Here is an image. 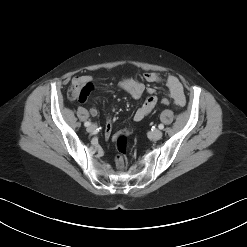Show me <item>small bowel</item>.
<instances>
[{
  "label": "small bowel",
  "instance_id": "1",
  "mask_svg": "<svg viewBox=\"0 0 247 247\" xmlns=\"http://www.w3.org/2000/svg\"><path fill=\"white\" fill-rule=\"evenodd\" d=\"M144 79L148 83H157L161 81V77L154 72H147L144 74ZM92 77L90 75H81L76 76L72 80V86L83 88L88 86L91 88ZM167 87L170 92V96L175 106L182 107L184 106L186 99L184 94V89L181 81L178 77L174 75H170L166 80ZM118 86L129 93L134 99L141 98L144 93L149 94L146 100L142 103V105L136 110L134 114V120L139 122L142 121L145 117H147L154 107L157 104V98L154 96L155 89L153 87H146L145 84L134 78H124L122 79ZM96 107H92L90 109V114L92 116L97 115ZM111 136V126L108 124L105 128V138H109Z\"/></svg>",
  "mask_w": 247,
  "mask_h": 247
}]
</instances>
